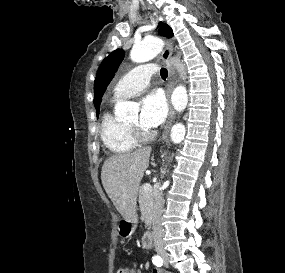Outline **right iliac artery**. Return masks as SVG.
Masks as SVG:
<instances>
[{
	"label": "right iliac artery",
	"mask_w": 285,
	"mask_h": 273,
	"mask_svg": "<svg viewBox=\"0 0 285 273\" xmlns=\"http://www.w3.org/2000/svg\"><path fill=\"white\" fill-rule=\"evenodd\" d=\"M152 262L157 267H161L163 265V260L160 256L156 255L152 257Z\"/></svg>",
	"instance_id": "1"
}]
</instances>
